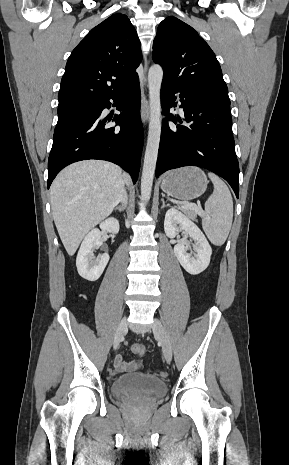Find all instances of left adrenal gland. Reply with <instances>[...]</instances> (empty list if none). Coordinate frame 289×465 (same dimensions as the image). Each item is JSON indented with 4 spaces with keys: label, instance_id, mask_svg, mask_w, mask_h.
I'll use <instances>...</instances> for the list:
<instances>
[{
    "label": "left adrenal gland",
    "instance_id": "1",
    "mask_svg": "<svg viewBox=\"0 0 289 465\" xmlns=\"http://www.w3.org/2000/svg\"><path fill=\"white\" fill-rule=\"evenodd\" d=\"M162 201V206H161V209L165 208L166 207V204H165V201H164V198L161 199Z\"/></svg>",
    "mask_w": 289,
    "mask_h": 465
}]
</instances>
